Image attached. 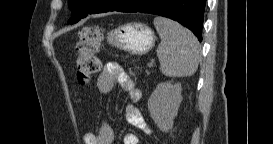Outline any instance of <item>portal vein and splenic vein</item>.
Returning <instances> with one entry per match:
<instances>
[{"label":"portal vein and splenic vein","instance_id":"1","mask_svg":"<svg viewBox=\"0 0 273 144\" xmlns=\"http://www.w3.org/2000/svg\"><path fill=\"white\" fill-rule=\"evenodd\" d=\"M153 65V63L151 62V63H149V67H151Z\"/></svg>","mask_w":273,"mask_h":144}]
</instances>
